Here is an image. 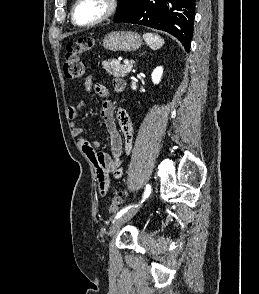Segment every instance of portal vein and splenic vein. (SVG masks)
Instances as JSON below:
<instances>
[{
  "mask_svg": "<svg viewBox=\"0 0 259 294\" xmlns=\"http://www.w3.org/2000/svg\"><path fill=\"white\" fill-rule=\"evenodd\" d=\"M124 64L128 65V64H130V61L129 60H124Z\"/></svg>",
  "mask_w": 259,
  "mask_h": 294,
  "instance_id": "obj_1",
  "label": "portal vein and splenic vein"
}]
</instances>
